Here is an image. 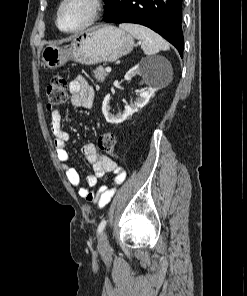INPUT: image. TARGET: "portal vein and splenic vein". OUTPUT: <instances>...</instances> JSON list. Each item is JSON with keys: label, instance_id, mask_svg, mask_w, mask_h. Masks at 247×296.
<instances>
[{"label": "portal vein and splenic vein", "instance_id": "18ae733b", "mask_svg": "<svg viewBox=\"0 0 247 296\" xmlns=\"http://www.w3.org/2000/svg\"><path fill=\"white\" fill-rule=\"evenodd\" d=\"M106 72H111V67L107 66L106 67Z\"/></svg>", "mask_w": 247, "mask_h": 296}]
</instances>
